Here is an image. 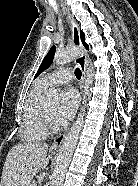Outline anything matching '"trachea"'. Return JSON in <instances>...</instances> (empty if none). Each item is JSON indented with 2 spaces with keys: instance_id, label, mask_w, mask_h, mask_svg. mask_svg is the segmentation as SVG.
I'll return each instance as SVG.
<instances>
[{
  "instance_id": "3493384b",
  "label": "trachea",
  "mask_w": 138,
  "mask_h": 186,
  "mask_svg": "<svg viewBox=\"0 0 138 186\" xmlns=\"http://www.w3.org/2000/svg\"><path fill=\"white\" fill-rule=\"evenodd\" d=\"M75 76H76L77 79H80L81 78L82 72H81V70L79 68H76V70H75Z\"/></svg>"
}]
</instances>
